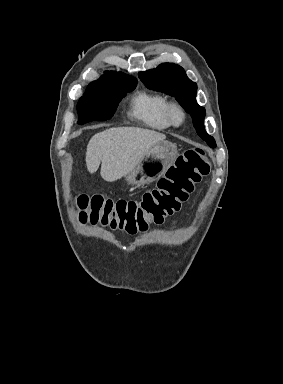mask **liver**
I'll return each instance as SVG.
<instances>
[{"instance_id": "obj_1", "label": "liver", "mask_w": 283, "mask_h": 384, "mask_svg": "<svg viewBox=\"0 0 283 384\" xmlns=\"http://www.w3.org/2000/svg\"><path fill=\"white\" fill-rule=\"evenodd\" d=\"M165 138V134L145 128H109L99 132L87 146V170L94 174L101 164L103 180L116 182L133 172L149 148Z\"/></svg>"}]
</instances>
